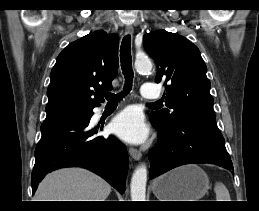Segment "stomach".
I'll list each match as a JSON object with an SVG mask.
<instances>
[{"label": "stomach", "mask_w": 259, "mask_h": 211, "mask_svg": "<svg viewBox=\"0 0 259 211\" xmlns=\"http://www.w3.org/2000/svg\"><path fill=\"white\" fill-rule=\"evenodd\" d=\"M209 178L197 165L176 168L153 182L159 201H198L209 190Z\"/></svg>", "instance_id": "0dacf381"}]
</instances>
